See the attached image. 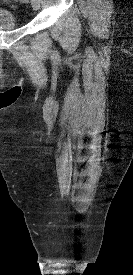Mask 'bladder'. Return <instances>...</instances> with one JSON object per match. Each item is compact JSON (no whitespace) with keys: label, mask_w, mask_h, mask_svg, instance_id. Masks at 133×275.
<instances>
[{"label":"bladder","mask_w":133,"mask_h":275,"mask_svg":"<svg viewBox=\"0 0 133 275\" xmlns=\"http://www.w3.org/2000/svg\"><path fill=\"white\" fill-rule=\"evenodd\" d=\"M19 27L17 16L5 8H0V30H12Z\"/></svg>","instance_id":"1"}]
</instances>
